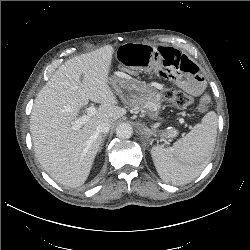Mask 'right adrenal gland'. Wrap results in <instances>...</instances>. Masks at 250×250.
<instances>
[{
    "label": "right adrenal gland",
    "mask_w": 250,
    "mask_h": 250,
    "mask_svg": "<svg viewBox=\"0 0 250 250\" xmlns=\"http://www.w3.org/2000/svg\"><path fill=\"white\" fill-rule=\"evenodd\" d=\"M105 137H106V135H104L103 138H102V142H101V145H100V148H99V152H100L101 149H102V146H103V144H104Z\"/></svg>",
    "instance_id": "obj_1"
}]
</instances>
